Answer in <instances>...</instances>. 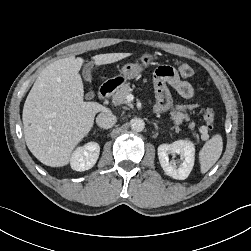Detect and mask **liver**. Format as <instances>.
Segmentation results:
<instances>
[{"instance_id": "6515ba94", "label": "liver", "mask_w": 251, "mask_h": 251, "mask_svg": "<svg viewBox=\"0 0 251 251\" xmlns=\"http://www.w3.org/2000/svg\"><path fill=\"white\" fill-rule=\"evenodd\" d=\"M130 53L93 56L95 65L117 62ZM83 59L70 56L48 65L39 74L23 107L27 147L43 164L62 167L74 148L93 127L95 115L109 110L97 102L84 101L79 70Z\"/></svg>"}]
</instances>
